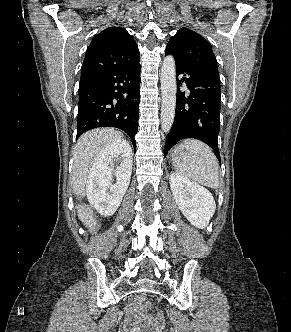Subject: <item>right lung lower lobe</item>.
Returning a JSON list of instances; mask_svg holds the SVG:
<instances>
[{"instance_id":"right-lung-lower-lobe-1","label":"right lung lower lobe","mask_w":291,"mask_h":332,"mask_svg":"<svg viewBox=\"0 0 291 332\" xmlns=\"http://www.w3.org/2000/svg\"><path fill=\"white\" fill-rule=\"evenodd\" d=\"M139 58L130 64L81 75L77 138L98 127L126 132L136 149L140 102Z\"/></svg>"}]
</instances>
